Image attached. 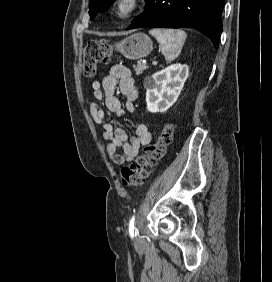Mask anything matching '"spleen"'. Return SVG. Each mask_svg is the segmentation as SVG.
<instances>
[{"label":"spleen","instance_id":"spleen-1","mask_svg":"<svg viewBox=\"0 0 272 282\" xmlns=\"http://www.w3.org/2000/svg\"><path fill=\"white\" fill-rule=\"evenodd\" d=\"M149 34L156 38L166 61L175 60L181 53L187 34L180 29L154 28Z\"/></svg>","mask_w":272,"mask_h":282}]
</instances>
